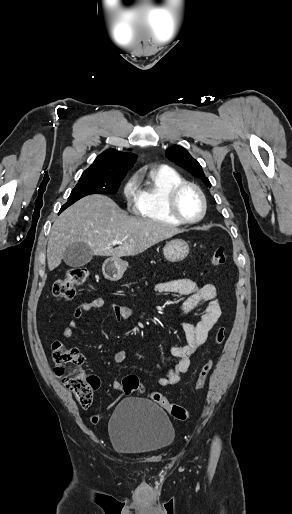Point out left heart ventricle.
Returning a JSON list of instances; mask_svg holds the SVG:
<instances>
[{"label":"left heart ventricle","instance_id":"b2bd125f","mask_svg":"<svg viewBox=\"0 0 292 514\" xmlns=\"http://www.w3.org/2000/svg\"><path fill=\"white\" fill-rule=\"evenodd\" d=\"M200 200L196 192L190 188L183 189L177 197V210L185 219L192 220L200 213Z\"/></svg>","mask_w":292,"mask_h":514}]
</instances>
